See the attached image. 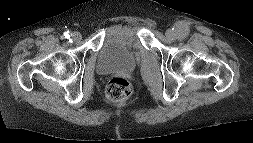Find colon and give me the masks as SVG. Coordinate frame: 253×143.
Masks as SVG:
<instances>
[{
	"mask_svg": "<svg viewBox=\"0 0 253 143\" xmlns=\"http://www.w3.org/2000/svg\"><path fill=\"white\" fill-rule=\"evenodd\" d=\"M132 93L130 82L123 77L112 78L106 87V96L110 101H126Z\"/></svg>",
	"mask_w": 253,
	"mask_h": 143,
	"instance_id": "obj_1",
	"label": "colon"
}]
</instances>
